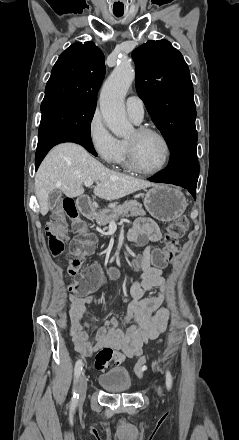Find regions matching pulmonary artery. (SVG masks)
Instances as JSON below:
<instances>
[{
  "label": "pulmonary artery",
  "instance_id": "obj_1",
  "mask_svg": "<svg viewBox=\"0 0 239 440\" xmlns=\"http://www.w3.org/2000/svg\"><path fill=\"white\" fill-rule=\"evenodd\" d=\"M126 110L130 118L140 123L144 117V103L138 96H129L126 99Z\"/></svg>",
  "mask_w": 239,
  "mask_h": 440
}]
</instances>
